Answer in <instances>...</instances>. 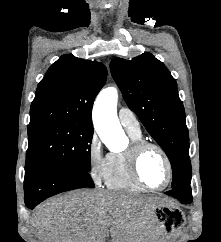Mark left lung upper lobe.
I'll return each instance as SVG.
<instances>
[{"instance_id":"left-lung-upper-lobe-1","label":"left lung upper lobe","mask_w":221,"mask_h":242,"mask_svg":"<svg viewBox=\"0 0 221 242\" xmlns=\"http://www.w3.org/2000/svg\"><path fill=\"white\" fill-rule=\"evenodd\" d=\"M110 70L128 107L168 156L172 189L190 184L192 169L185 110L169 70L150 53L132 60L115 58Z\"/></svg>"}]
</instances>
